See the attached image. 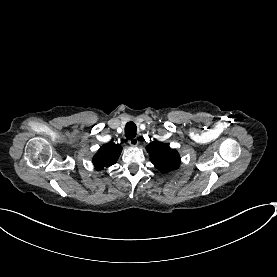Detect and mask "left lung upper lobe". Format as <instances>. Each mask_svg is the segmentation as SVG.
<instances>
[{"label": "left lung upper lobe", "instance_id": "5c2ea615", "mask_svg": "<svg viewBox=\"0 0 277 277\" xmlns=\"http://www.w3.org/2000/svg\"><path fill=\"white\" fill-rule=\"evenodd\" d=\"M151 162L163 173L171 172L180 166V155L168 144L152 141L146 147Z\"/></svg>", "mask_w": 277, "mask_h": 277}]
</instances>
